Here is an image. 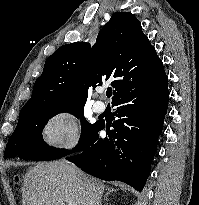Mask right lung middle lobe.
<instances>
[{"mask_svg": "<svg viewBox=\"0 0 199 205\" xmlns=\"http://www.w3.org/2000/svg\"><path fill=\"white\" fill-rule=\"evenodd\" d=\"M84 104H72L55 101L27 103L21 109L19 121L11 135L4 152V159L18 156L21 159L49 161L62 158L80 151L95 132L99 122L90 124L84 118ZM68 112L80 118L81 136L72 150L56 149L43 141L42 130L54 115Z\"/></svg>", "mask_w": 199, "mask_h": 205, "instance_id": "right-lung-middle-lobe-1", "label": "right lung middle lobe"}]
</instances>
